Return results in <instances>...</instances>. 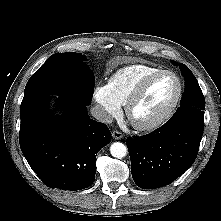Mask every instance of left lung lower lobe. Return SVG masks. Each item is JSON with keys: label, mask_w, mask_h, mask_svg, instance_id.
<instances>
[{"label": "left lung lower lobe", "mask_w": 221, "mask_h": 221, "mask_svg": "<svg viewBox=\"0 0 221 221\" xmlns=\"http://www.w3.org/2000/svg\"><path fill=\"white\" fill-rule=\"evenodd\" d=\"M204 131V111L180 107L154 132L126 140L134 182L143 189L170 184L195 161Z\"/></svg>", "instance_id": "1"}]
</instances>
